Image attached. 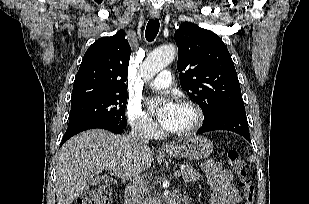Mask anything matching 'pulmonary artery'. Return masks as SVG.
Instances as JSON below:
<instances>
[{"mask_svg":"<svg viewBox=\"0 0 309 204\" xmlns=\"http://www.w3.org/2000/svg\"><path fill=\"white\" fill-rule=\"evenodd\" d=\"M172 84V74L165 70L161 72L156 78L149 82V86L153 89H165Z\"/></svg>","mask_w":309,"mask_h":204,"instance_id":"obj_1","label":"pulmonary artery"}]
</instances>
